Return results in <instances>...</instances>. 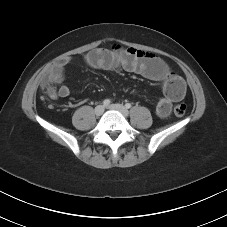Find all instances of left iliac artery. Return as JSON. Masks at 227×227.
I'll return each instance as SVG.
<instances>
[{
	"label": "left iliac artery",
	"instance_id": "left-iliac-artery-1",
	"mask_svg": "<svg viewBox=\"0 0 227 227\" xmlns=\"http://www.w3.org/2000/svg\"><path fill=\"white\" fill-rule=\"evenodd\" d=\"M125 107H126L127 109H129V108H131V104H130V103H126V104H125Z\"/></svg>",
	"mask_w": 227,
	"mask_h": 227
}]
</instances>
